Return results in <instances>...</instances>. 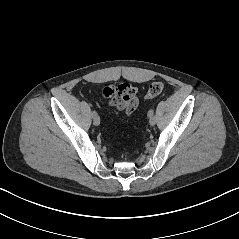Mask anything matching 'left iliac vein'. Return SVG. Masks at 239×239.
Returning a JSON list of instances; mask_svg holds the SVG:
<instances>
[{
	"label": "left iliac vein",
	"mask_w": 239,
	"mask_h": 239,
	"mask_svg": "<svg viewBox=\"0 0 239 239\" xmlns=\"http://www.w3.org/2000/svg\"><path fill=\"white\" fill-rule=\"evenodd\" d=\"M149 123H150L151 126H154V125H155V123H156V117H155L154 115L150 117Z\"/></svg>",
	"instance_id": "obj_1"
}]
</instances>
